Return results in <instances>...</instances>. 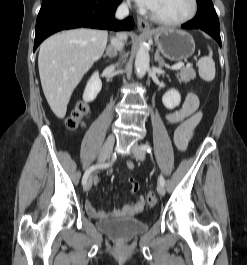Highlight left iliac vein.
Returning <instances> with one entry per match:
<instances>
[{
  "instance_id": "left-iliac-vein-1",
  "label": "left iliac vein",
  "mask_w": 247,
  "mask_h": 265,
  "mask_svg": "<svg viewBox=\"0 0 247 265\" xmlns=\"http://www.w3.org/2000/svg\"><path fill=\"white\" fill-rule=\"evenodd\" d=\"M132 153L135 156V158H137V159H139L141 161H143L145 159L146 152L143 149H141V147L138 144H134L133 145ZM157 191H158V194L160 196H164L165 195V188H164L163 185L159 184L158 187H157Z\"/></svg>"
}]
</instances>
